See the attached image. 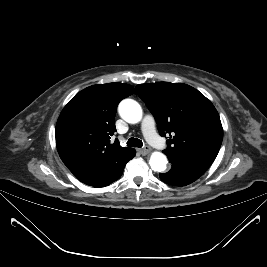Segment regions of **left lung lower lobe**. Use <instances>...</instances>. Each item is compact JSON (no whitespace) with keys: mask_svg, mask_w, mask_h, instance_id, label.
Returning <instances> with one entry per match:
<instances>
[{"mask_svg":"<svg viewBox=\"0 0 267 267\" xmlns=\"http://www.w3.org/2000/svg\"><path fill=\"white\" fill-rule=\"evenodd\" d=\"M164 154L168 157L172 167L169 172L159 174V176L163 182L169 185H188L201 177L208 169V167L184 160L173 153L164 152Z\"/></svg>","mask_w":267,"mask_h":267,"instance_id":"0a47b994","label":"left lung lower lobe"}]
</instances>
